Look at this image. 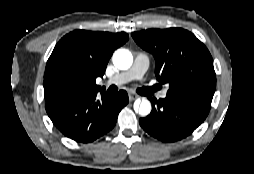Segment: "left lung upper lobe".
Segmentation results:
<instances>
[{"mask_svg":"<svg viewBox=\"0 0 254 174\" xmlns=\"http://www.w3.org/2000/svg\"><path fill=\"white\" fill-rule=\"evenodd\" d=\"M135 42L152 53L155 75L168 83V97L192 98L211 106L216 88L213 60L205 45L181 28L149 29L132 34Z\"/></svg>","mask_w":254,"mask_h":174,"instance_id":"1","label":"left lung upper lobe"}]
</instances>
